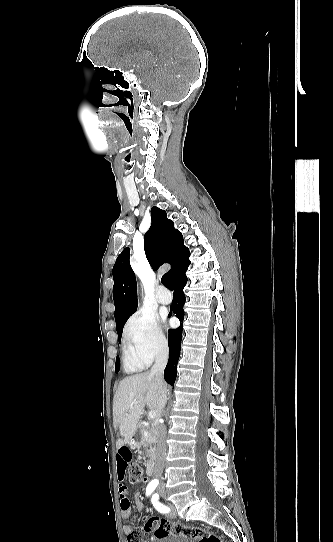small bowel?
<instances>
[{"mask_svg": "<svg viewBox=\"0 0 333 542\" xmlns=\"http://www.w3.org/2000/svg\"><path fill=\"white\" fill-rule=\"evenodd\" d=\"M130 460H131L130 450L126 446L120 447L118 451V455H117V481H118L117 490H118L121 515L124 519H129L132 513L131 502L128 498V489L125 484L126 468ZM149 480H150L149 477L146 476L144 477V479L140 481V484L142 486H146ZM134 501L138 509L141 510L142 496L140 493H136L134 495ZM132 531H133L132 526L127 525L124 527L125 534L129 535Z\"/></svg>", "mask_w": 333, "mask_h": 542, "instance_id": "obj_1", "label": "small bowel"}]
</instances>
